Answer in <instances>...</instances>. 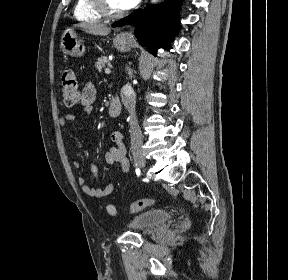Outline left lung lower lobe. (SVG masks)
<instances>
[{
	"label": "left lung lower lobe",
	"instance_id": "1",
	"mask_svg": "<svg viewBox=\"0 0 288 280\" xmlns=\"http://www.w3.org/2000/svg\"><path fill=\"white\" fill-rule=\"evenodd\" d=\"M181 1L167 0L159 7L148 6L146 10L139 9L113 25L135 26V35L139 43L156 56L157 50L167 46L179 29L177 9Z\"/></svg>",
	"mask_w": 288,
	"mask_h": 280
}]
</instances>
